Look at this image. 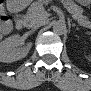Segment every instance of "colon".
I'll return each mask as SVG.
<instances>
[{"mask_svg": "<svg viewBox=\"0 0 91 91\" xmlns=\"http://www.w3.org/2000/svg\"><path fill=\"white\" fill-rule=\"evenodd\" d=\"M0 29L3 33H7L10 30V22L7 17H1Z\"/></svg>", "mask_w": 91, "mask_h": 91, "instance_id": "1", "label": "colon"}]
</instances>
